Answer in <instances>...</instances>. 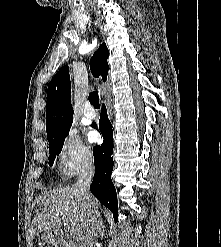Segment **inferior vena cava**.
<instances>
[{"label": "inferior vena cava", "instance_id": "inferior-vena-cava-1", "mask_svg": "<svg viewBox=\"0 0 221 247\" xmlns=\"http://www.w3.org/2000/svg\"><path fill=\"white\" fill-rule=\"evenodd\" d=\"M93 176V165H86L81 169L78 175L77 183L75 185L83 199V202L85 204V207L87 208L90 217L89 224L86 228L85 235L81 240L80 247H92L98 233L100 214L96 207L95 200L90 192V184L92 182Z\"/></svg>", "mask_w": 221, "mask_h": 247}]
</instances>
